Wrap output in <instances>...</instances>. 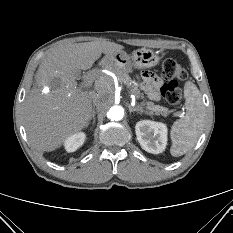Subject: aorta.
I'll list each match as a JSON object with an SVG mask.
<instances>
[{"mask_svg":"<svg viewBox=\"0 0 233 233\" xmlns=\"http://www.w3.org/2000/svg\"><path fill=\"white\" fill-rule=\"evenodd\" d=\"M124 116V110L121 106H112L107 112V117L112 121H119Z\"/></svg>","mask_w":233,"mask_h":233,"instance_id":"obj_1","label":"aorta"}]
</instances>
